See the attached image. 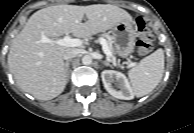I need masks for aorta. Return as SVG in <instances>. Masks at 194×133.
<instances>
[{
	"mask_svg": "<svg viewBox=\"0 0 194 133\" xmlns=\"http://www.w3.org/2000/svg\"><path fill=\"white\" fill-rule=\"evenodd\" d=\"M82 63L84 65H90L92 63V57L90 55H85L82 57Z\"/></svg>",
	"mask_w": 194,
	"mask_h": 133,
	"instance_id": "aorta-1",
	"label": "aorta"
}]
</instances>
